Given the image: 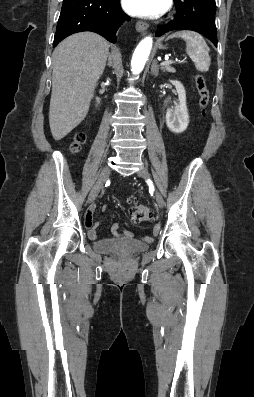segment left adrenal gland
<instances>
[{"instance_id": "1", "label": "left adrenal gland", "mask_w": 254, "mask_h": 397, "mask_svg": "<svg viewBox=\"0 0 254 397\" xmlns=\"http://www.w3.org/2000/svg\"><path fill=\"white\" fill-rule=\"evenodd\" d=\"M151 73L154 76H157L159 73V67H158L156 59L153 61L152 65H151Z\"/></svg>"}]
</instances>
